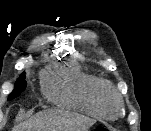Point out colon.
Returning a JSON list of instances; mask_svg holds the SVG:
<instances>
[{"instance_id": "1", "label": "colon", "mask_w": 151, "mask_h": 131, "mask_svg": "<svg viewBox=\"0 0 151 131\" xmlns=\"http://www.w3.org/2000/svg\"><path fill=\"white\" fill-rule=\"evenodd\" d=\"M94 131H111V130L105 126H98Z\"/></svg>"}]
</instances>
